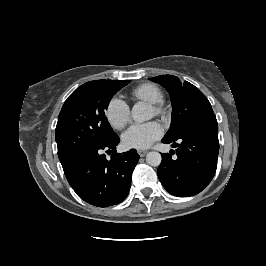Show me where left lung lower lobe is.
Wrapping results in <instances>:
<instances>
[{"mask_svg":"<svg viewBox=\"0 0 266 266\" xmlns=\"http://www.w3.org/2000/svg\"><path fill=\"white\" fill-rule=\"evenodd\" d=\"M162 142L177 147L176 159L162 154L157 174L164 188L178 197L201 192L210 183L217 168L219 141L216 117L193 126L176 139H163Z\"/></svg>","mask_w":266,"mask_h":266,"instance_id":"obj_1","label":"left lung lower lobe"}]
</instances>
